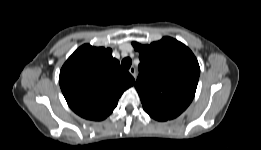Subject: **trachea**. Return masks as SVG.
Returning <instances> with one entry per match:
<instances>
[{
  "label": "trachea",
  "instance_id": "trachea-1",
  "mask_svg": "<svg viewBox=\"0 0 261 150\" xmlns=\"http://www.w3.org/2000/svg\"><path fill=\"white\" fill-rule=\"evenodd\" d=\"M122 67L125 69H129L131 64H132V60L130 58H124L121 62Z\"/></svg>",
  "mask_w": 261,
  "mask_h": 150
}]
</instances>
